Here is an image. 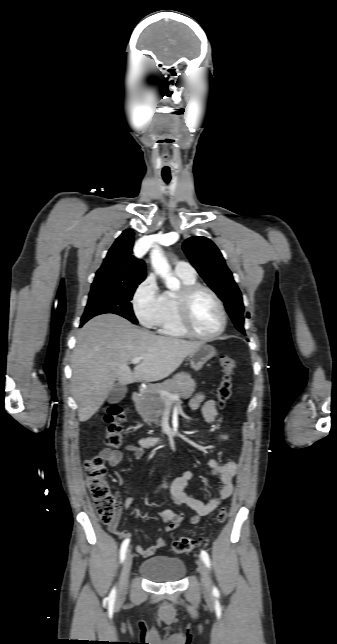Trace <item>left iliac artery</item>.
Wrapping results in <instances>:
<instances>
[{
	"mask_svg": "<svg viewBox=\"0 0 337 644\" xmlns=\"http://www.w3.org/2000/svg\"><path fill=\"white\" fill-rule=\"evenodd\" d=\"M201 558H202V560L204 561V563L206 564V566H207L208 568H210V566H211V562H210L209 555H208V553H207L206 551H204V550H202V551H201ZM213 593H214V594H215V593H218V590H217V588H216V587H214V588H213Z\"/></svg>",
	"mask_w": 337,
	"mask_h": 644,
	"instance_id": "44dca946",
	"label": "left iliac artery"
}]
</instances>
